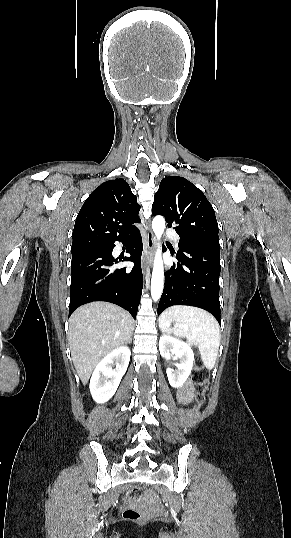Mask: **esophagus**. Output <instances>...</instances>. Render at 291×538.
Listing matches in <instances>:
<instances>
[{
  "instance_id": "esophagus-1",
  "label": "esophagus",
  "mask_w": 291,
  "mask_h": 538,
  "mask_svg": "<svg viewBox=\"0 0 291 538\" xmlns=\"http://www.w3.org/2000/svg\"><path fill=\"white\" fill-rule=\"evenodd\" d=\"M155 237L150 228L147 229L146 243L142 255V269L144 274L152 266L155 252Z\"/></svg>"
}]
</instances>
